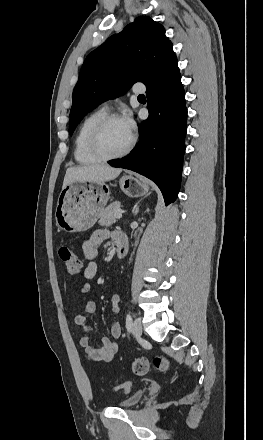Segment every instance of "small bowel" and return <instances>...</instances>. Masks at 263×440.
Segmentation results:
<instances>
[{
  "label": "small bowel",
  "mask_w": 263,
  "mask_h": 440,
  "mask_svg": "<svg viewBox=\"0 0 263 440\" xmlns=\"http://www.w3.org/2000/svg\"><path fill=\"white\" fill-rule=\"evenodd\" d=\"M124 237L119 232H109L108 230L100 229L96 230L89 238H87L82 244V255L88 260V265L84 271V278L90 280L94 278L97 273V264L95 259L98 255L99 246L111 238L115 242L119 238ZM90 286L86 282L78 288V293L82 296H86L89 292ZM111 310L114 314H117L120 310V298L118 295H113L111 298ZM96 312V305L93 301L85 300L81 309V312L76 315L75 322L83 328L84 336L80 339V346L83 348L87 358L93 362H109L118 352V343L115 339L121 335V325L119 322H114L111 326V337H104L100 341L99 346L91 344L92 341V329L87 324L86 316L92 315Z\"/></svg>",
  "instance_id": "c3829d8e"
}]
</instances>
